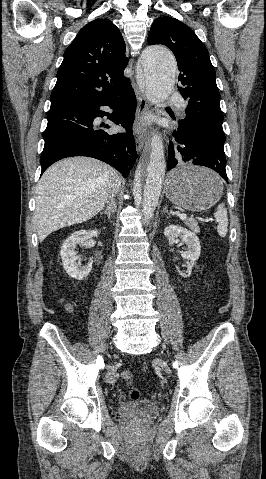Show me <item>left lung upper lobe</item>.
<instances>
[{
  "mask_svg": "<svg viewBox=\"0 0 266 479\" xmlns=\"http://www.w3.org/2000/svg\"><path fill=\"white\" fill-rule=\"evenodd\" d=\"M148 43L163 44L176 57L179 91L188 102L186 117L179 120L178 127L202 150L206 161L226 159L220 93L207 48L192 29L167 16L154 21Z\"/></svg>",
  "mask_w": 266,
  "mask_h": 479,
  "instance_id": "obj_1",
  "label": "left lung upper lobe"
}]
</instances>
